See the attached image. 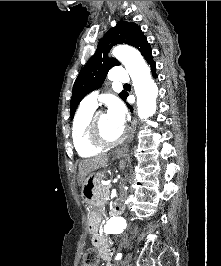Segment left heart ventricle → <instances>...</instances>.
I'll return each mask as SVG.
<instances>
[{"label":"left heart ventricle","mask_w":221,"mask_h":266,"mask_svg":"<svg viewBox=\"0 0 221 266\" xmlns=\"http://www.w3.org/2000/svg\"><path fill=\"white\" fill-rule=\"evenodd\" d=\"M98 122L101 134L107 140L116 139L122 132L121 128L117 127L110 121L107 114L100 115Z\"/></svg>","instance_id":"1"}]
</instances>
